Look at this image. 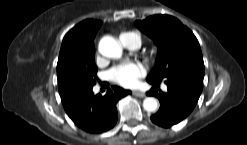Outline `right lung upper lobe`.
Here are the masks:
<instances>
[{"label": "right lung upper lobe", "mask_w": 247, "mask_h": 145, "mask_svg": "<svg viewBox=\"0 0 247 145\" xmlns=\"http://www.w3.org/2000/svg\"><path fill=\"white\" fill-rule=\"evenodd\" d=\"M101 24L100 21L92 19L80 22L65 35L61 48L75 46L85 50H94V38Z\"/></svg>", "instance_id": "right-lung-upper-lobe-1"}]
</instances>
